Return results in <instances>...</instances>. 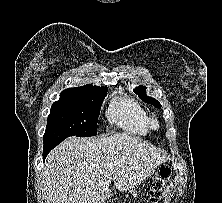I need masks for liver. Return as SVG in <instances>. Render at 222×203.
<instances>
[{
	"label": "liver",
	"mask_w": 222,
	"mask_h": 203,
	"mask_svg": "<svg viewBox=\"0 0 222 203\" xmlns=\"http://www.w3.org/2000/svg\"><path fill=\"white\" fill-rule=\"evenodd\" d=\"M166 159L162 150L127 133L67 138L45 161L47 203H103L112 196V180L119 191H129Z\"/></svg>",
	"instance_id": "obj_1"
}]
</instances>
